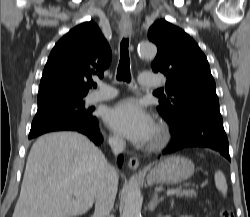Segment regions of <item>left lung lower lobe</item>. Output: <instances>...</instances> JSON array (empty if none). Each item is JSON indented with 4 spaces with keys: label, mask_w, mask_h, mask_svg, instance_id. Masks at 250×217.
Listing matches in <instances>:
<instances>
[{
    "label": "left lung lower lobe",
    "mask_w": 250,
    "mask_h": 217,
    "mask_svg": "<svg viewBox=\"0 0 250 217\" xmlns=\"http://www.w3.org/2000/svg\"><path fill=\"white\" fill-rule=\"evenodd\" d=\"M168 123L171 126L172 141L164 154L189 147H207L230 160L219 104L187 109L178 120Z\"/></svg>",
    "instance_id": "1"
}]
</instances>
